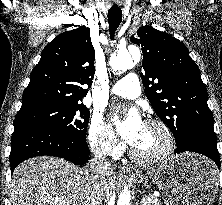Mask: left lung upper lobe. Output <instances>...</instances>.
<instances>
[{"mask_svg": "<svg viewBox=\"0 0 222 205\" xmlns=\"http://www.w3.org/2000/svg\"><path fill=\"white\" fill-rule=\"evenodd\" d=\"M131 42L142 47L145 95L176 143L193 133L216 138L207 90L186 46L148 25Z\"/></svg>", "mask_w": 222, "mask_h": 205, "instance_id": "left-lung-upper-lobe-1", "label": "left lung upper lobe"}]
</instances>
